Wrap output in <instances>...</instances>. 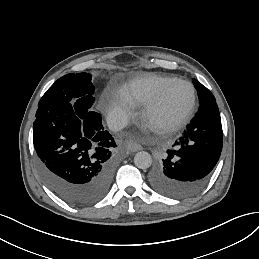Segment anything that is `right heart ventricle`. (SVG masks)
Returning a JSON list of instances; mask_svg holds the SVG:
<instances>
[{"label":"right heart ventricle","mask_w":259,"mask_h":259,"mask_svg":"<svg viewBox=\"0 0 259 259\" xmlns=\"http://www.w3.org/2000/svg\"><path fill=\"white\" fill-rule=\"evenodd\" d=\"M172 77H174V75ZM166 81L167 80L165 81L154 80L149 76V74H147L126 85L123 91L138 106H141V105H144L148 100L152 99V97L156 95L159 88Z\"/></svg>","instance_id":"1"}]
</instances>
